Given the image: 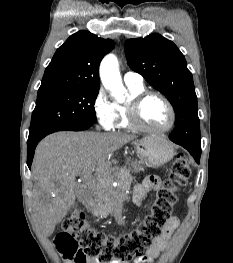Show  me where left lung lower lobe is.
I'll list each match as a JSON object with an SVG mask.
<instances>
[{
  "label": "left lung lower lobe",
  "mask_w": 233,
  "mask_h": 263,
  "mask_svg": "<svg viewBox=\"0 0 233 263\" xmlns=\"http://www.w3.org/2000/svg\"><path fill=\"white\" fill-rule=\"evenodd\" d=\"M174 142V141H173ZM181 146H183L185 149H187L190 154L194 157L197 163H199L200 155H201V149H199L197 146L192 144H186L182 142H175Z\"/></svg>",
  "instance_id": "0a47b994"
}]
</instances>
